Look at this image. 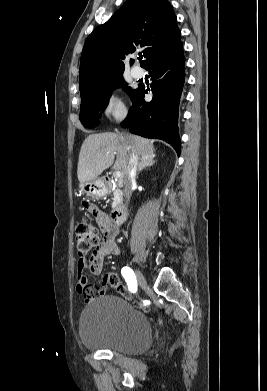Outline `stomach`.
<instances>
[{"label": "stomach", "mask_w": 267, "mask_h": 391, "mask_svg": "<svg viewBox=\"0 0 267 391\" xmlns=\"http://www.w3.org/2000/svg\"><path fill=\"white\" fill-rule=\"evenodd\" d=\"M79 188L82 192L86 193V195L95 199L104 197L109 191L108 186L101 178H96L85 183H80Z\"/></svg>", "instance_id": "0dacf381"}]
</instances>
